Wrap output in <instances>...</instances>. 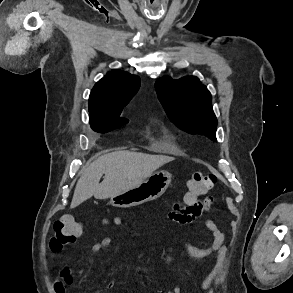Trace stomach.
Instances as JSON below:
<instances>
[{"label": "stomach", "instance_id": "0dacf381", "mask_svg": "<svg viewBox=\"0 0 293 293\" xmlns=\"http://www.w3.org/2000/svg\"><path fill=\"white\" fill-rule=\"evenodd\" d=\"M171 182V174L158 171L145 179L138 186L122 194L111 197V204L115 207L128 208L138 206L162 196Z\"/></svg>", "mask_w": 293, "mask_h": 293}]
</instances>
